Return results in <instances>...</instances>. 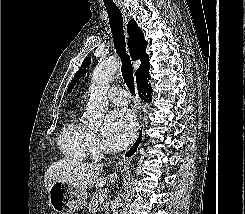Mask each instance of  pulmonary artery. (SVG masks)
<instances>
[{
	"label": "pulmonary artery",
	"mask_w": 245,
	"mask_h": 214,
	"mask_svg": "<svg viewBox=\"0 0 245 214\" xmlns=\"http://www.w3.org/2000/svg\"><path fill=\"white\" fill-rule=\"evenodd\" d=\"M108 99L118 105H126L129 102L128 93L121 88L112 87L107 93Z\"/></svg>",
	"instance_id": "pulmonary-artery-1"
}]
</instances>
